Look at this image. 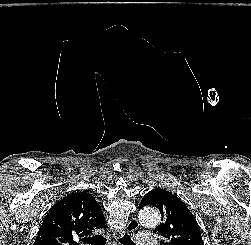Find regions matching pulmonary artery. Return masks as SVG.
<instances>
[{
    "mask_svg": "<svg viewBox=\"0 0 251 245\" xmlns=\"http://www.w3.org/2000/svg\"><path fill=\"white\" fill-rule=\"evenodd\" d=\"M138 239V245H157V239L149 234L138 232L136 234Z\"/></svg>",
    "mask_w": 251,
    "mask_h": 245,
    "instance_id": "pulmonary-artery-1",
    "label": "pulmonary artery"
}]
</instances>
